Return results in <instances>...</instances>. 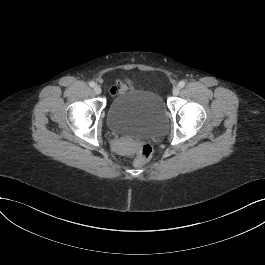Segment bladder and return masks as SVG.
<instances>
[{"label": "bladder", "mask_w": 265, "mask_h": 265, "mask_svg": "<svg viewBox=\"0 0 265 265\" xmlns=\"http://www.w3.org/2000/svg\"><path fill=\"white\" fill-rule=\"evenodd\" d=\"M106 120L111 131L137 137L163 130L167 108L158 93L130 91L114 98L107 109Z\"/></svg>", "instance_id": "bladder-1"}]
</instances>
